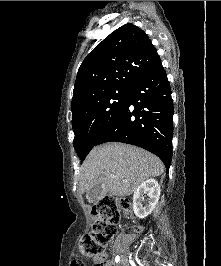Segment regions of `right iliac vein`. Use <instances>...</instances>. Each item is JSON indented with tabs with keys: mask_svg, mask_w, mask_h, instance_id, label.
<instances>
[{
	"mask_svg": "<svg viewBox=\"0 0 221 266\" xmlns=\"http://www.w3.org/2000/svg\"><path fill=\"white\" fill-rule=\"evenodd\" d=\"M128 255H129V251L126 250L122 255L119 266H127Z\"/></svg>",
	"mask_w": 221,
	"mask_h": 266,
	"instance_id": "1",
	"label": "right iliac vein"
}]
</instances>
